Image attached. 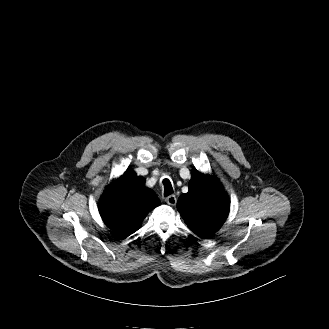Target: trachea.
Returning a JSON list of instances; mask_svg holds the SVG:
<instances>
[{
    "mask_svg": "<svg viewBox=\"0 0 329 329\" xmlns=\"http://www.w3.org/2000/svg\"><path fill=\"white\" fill-rule=\"evenodd\" d=\"M163 185H164V196H169L170 194L173 193V188L169 179H164Z\"/></svg>",
    "mask_w": 329,
    "mask_h": 329,
    "instance_id": "trachea-1",
    "label": "trachea"
}]
</instances>
